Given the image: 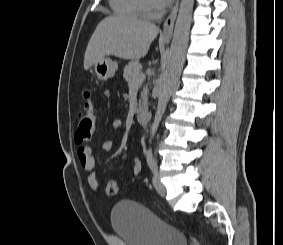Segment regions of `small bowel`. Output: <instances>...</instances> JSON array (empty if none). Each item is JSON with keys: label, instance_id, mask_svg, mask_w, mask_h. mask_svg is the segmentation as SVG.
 Returning a JSON list of instances; mask_svg holds the SVG:
<instances>
[{"label": "small bowel", "instance_id": "small-bowel-1", "mask_svg": "<svg viewBox=\"0 0 283 245\" xmlns=\"http://www.w3.org/2000/svg\"><path fill=\"white\" fill-rule=\"evenodd\" d=\"M123 122L120 119H115L111 123V130H118L122 128ZM102 148L105 152H110L113 148V143L111 140H105L103 141ZM77 156L79 163L81 165V168L83 171L87 174L88 184L90 188L94 192L99 191V184L97 180V176L95 173V160L93 156V148L92 146H81L77 150ZM142 169L141 162L138 158H134L133 160V167H132V173L134 175L140 174Z\"/></svg>", "mask_w": 283, "mask_h": 245}]
</instances>
